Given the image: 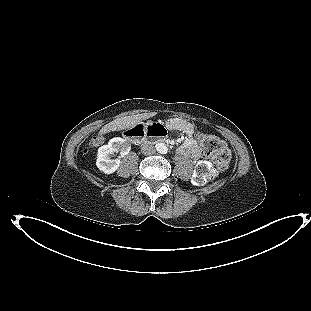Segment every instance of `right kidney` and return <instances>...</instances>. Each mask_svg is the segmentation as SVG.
<instances>
[{"instance_id": "ca27d5eb", "label": "right kidney", "mask_w": 311, "mask_h": 311, "mask_svg": "<svg viewBox=\"0 0 311 311\" xmlns=\"http://www.w3.org/2000/svg\"><path fill=\"white\" fill-rule=\"evenodd\" d=\"M131 150L130 144L121 137L112 138L107 145L98 149L97 168L105 174L114 173L120 166L119 159H111V156L120 152L122 156L127 155Z\"/></svg>"}]
</instances>
